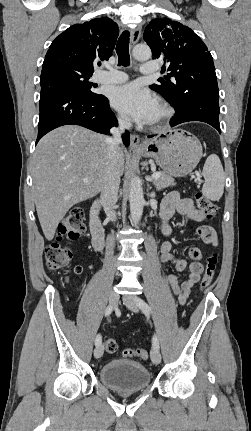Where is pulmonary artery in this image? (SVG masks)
Returning a JSON list of instances; mask_svg holds the SVG:
<instances>
[{
  "label": "pulmonary artery",
  "instance_id": "pulmonary-artery-1",
  "mask_svg": "<svg viewBox=\"0 0 251 431\" xmlns=\"http://www.w3.org/2000/svg\"><path fill=\"white\" fill-rule=\"evenodd\" d=\"M159 70V65L156 62L149 61L142 65L141 73L144 75L152 74ZM128 79L124 72L117 70L104 71L97 75V81L100 83L117 84L125 82Z\"/></svg>",
  "mask_w": 251,
  "mask_h": 431
}]
</instances>
